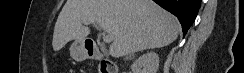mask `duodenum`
<instances>
[{"instance_id": "obj_1", "label": "duodenum", "mask_w": 244, "mask_h": 73, "mask_svg": "<svg viewBox=\"0 0 244 73\" xmlns=\"http://www.w3.org/2000/svg\"><path fill=\"white\" fill-rule=\"evenodd\" d=\"M85 53L88 59L101 61V68L99 73H116L115 65L104 58L103 49L99 44H86Z\"/></svg>"}]
</instances>
